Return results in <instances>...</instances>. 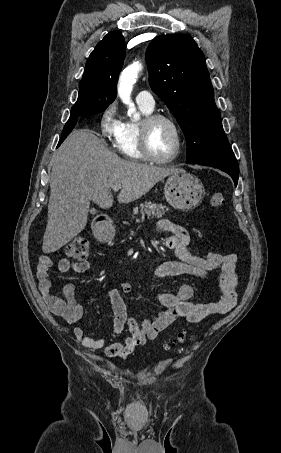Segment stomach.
<instances>
[{
	"mask_svg": "<svg viewBox=\"0 0 281 453\" xmlns=\"http://www.w3.org/2000/svg\"><path fill=\"white\" fill-rule=\"evenodd\" d=\"M164 194L167 202L173 208L190 210L203 200L205 190L198 176H194L190 172H175L168 176L164 184ZM98 237L102 241H111L114 237V227L100 229Z\"/></svg>",
	"mask_w": 281,
	"mask_h": 453,
	"instance_id": "0dacf381",
	"label": "stomach"
}]
</instances>
